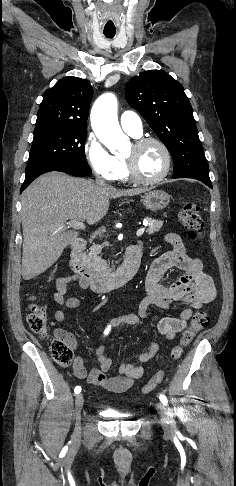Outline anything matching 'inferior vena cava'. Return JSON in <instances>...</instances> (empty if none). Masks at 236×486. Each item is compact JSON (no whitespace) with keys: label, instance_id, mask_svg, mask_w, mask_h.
<instances>
[{"label":"inferior vena cava","instance_id":"1","mask_svg":"<svg viewBox=\"0 0 236 486\" xmlns=\"http://www.w3.org/2000/svg\"><path fill=\"white\" fill-rule=\"evenodd\" d=\"M96 184L99 185V186H102V187L107 186V184L105 183V181L102 178H97Z\"/></svg>","mask_w":236,"mask_h":486}]
</instances>
